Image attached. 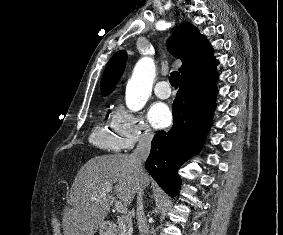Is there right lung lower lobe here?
Here are the masks:
<instances>
[{
    "mask_svg": "<svg viewBox=\"0 0 283 235\" xmlns=\"http://www.w3.org/2000/svg\"><path fill=\"white\" fill-rule=\"evenodd\" d=\"M217 78L214 70L180 82V91L172 105L173 126L168 132H158L152 140L145 167L168 195H178L181 185L178 169L204 143L215 107Z\"/></svg>",
    "mask_w": 283,
    "mask_h": 235,
    "instance_id": "right-lung-lower-lobe-1",
    "label": "right lung lower lobe"
}]
</instances>
